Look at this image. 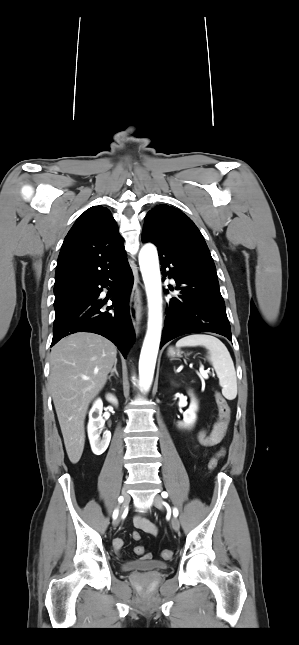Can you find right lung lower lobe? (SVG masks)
I'll use <instances>...</instances> for the list:
<instances>
[{
	"label": "right lung lower lobe",
	"mask_w": 299,
	"mask_h": 645,
	"mask_svg": "<svg viewBox=\"0 0 299 645\" xmlns=\"http://www.w3.org/2000/svg\"><path fill=\"white\" fill-rule=\"evenodd\" d=\"M113 289L112 312H102L105 304L99 299L103 288ZM133 275L127 258L116 269L83 285L81 296L56 313L51 346L76 332H92L112 341L126 358L135 339L129 313V295Z\"/></svg>",
	"instance_id": "1"
}]
</instances>
